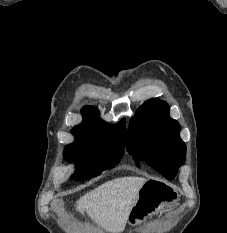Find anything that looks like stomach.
I'll use <instances>...</instances> for the list:
<instances>
[{
    "instance_id": "1",
    "label": "stomach",
    "mask_w": 227,
    "mask_h": 233,
    "mask_svg": "<svg viewBox=\"0 0 227 233\" xmlns=\"http://www.w3.org/2000/svg\"><path fill=\"white\" fill-rule=\"evenodd\" d=\"M174 198H176V193L169 184L147 180L139 190V197L130 211L128 223L131 226L141 224L166 204L173 203Z\"/></svg>"
}]
</instances>
